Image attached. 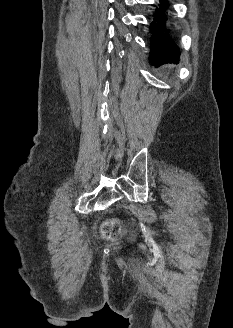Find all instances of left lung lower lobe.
I'll use <instances>...</instances> for the list:
<instances>
[{
    "instance_id": "obj_1",
    "label": "left lung lower lobe",
    "mask_w": 233,
    "mask_h": 328,
    "mask_svg": "<svg viewBox=\"0 0 233 328\" xmlns=\"http://www.w3.org/2000/svg\"><path fill=\"white\" fill-rule=\"evenodd\" d=\"M168 7L166 0H161L160 9L157 15H154V22L151 23V57L153 64L168 60L169 62L178 61L180 55L178 47L174 41L167 35L166 16L164 10Z\"/></svg>"
}]
</instances>
